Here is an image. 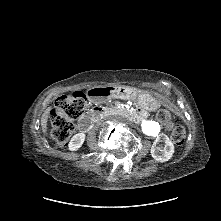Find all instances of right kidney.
I'll return each mask as SVG.
<instances>
[{
  "label": "right kidney",
  "instance_id": "right-kidney-1",
  "mask_svg": "<svg viewBox=\"0 0 221 221\" xmlns=\"http://www.w3.org/2000/svg\"><path fill=\"white\" fill-rule=\"evenodd\" d=\"M85 141V134L84 133H78L72 137L69 143V150L75 151L78 150Z\"/></svg>",
  "mask_w": 221,
  "mask_h": 221
}]
</instances>
